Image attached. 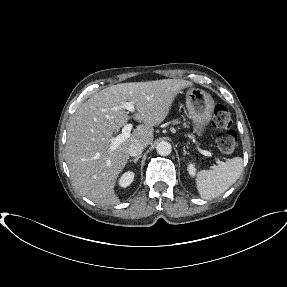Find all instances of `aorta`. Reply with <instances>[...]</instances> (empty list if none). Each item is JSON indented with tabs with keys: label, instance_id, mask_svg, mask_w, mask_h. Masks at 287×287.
Returning a JSON list of instances; mask_svg holds the SVG:
<instances>
[{
	"label": "aorta",
	"instance_id": "762f6f07",
	"mask_svg": "<svg viewBox=\"0 0 287 287\" xmlns=\"http://www.w3.org/2000/svg\"><path fill=\"white\" fill-rule=\"evenodd\" d=\"M156 151L161 156H168L172 151V146L169 142L161 141L157 144Z\"/></svg>",
	"mask_w": 287,
	"mask_h": 287
}]
</instances>
